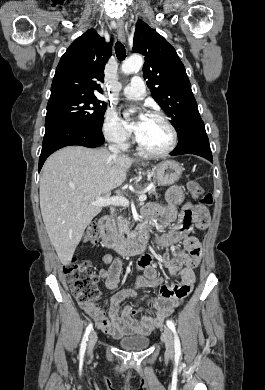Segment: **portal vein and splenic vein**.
Masks as SVG:
<instances>
[{"label": "portal vein and splenic vein", "instance_id": "1", "mask_svg": "<svg viewBox=\"0 0 265 390\" xmlns=\"http://www.w3.org/2000/svg\"><path fill=\"white\" fill-rule=\"evenodd\" d=\"M149 189H145L139 196V201L144 202L146 200V192ZM92 205L106 207V206H129V200L123 196H112L107 198L98 197L95 201L91 202Z\"/></svg>", "mask_w": 265, "mask_h": 390}]
</instances>
